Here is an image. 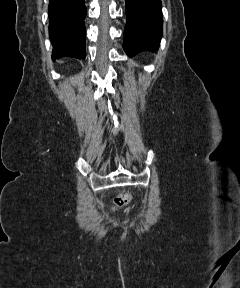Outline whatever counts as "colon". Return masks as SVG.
Masks as SVG:
<instances>
[{
    "instance_id": "5ec220e1",
    "label": "colon",
    "mask_w": 240,
    "mask_h": 288,
    "mask_svg": "<svg viewBox=\"0 0 240 288\" xmlns=\"http://www.w3.org/2000/svg\"><path fill=\"white\" fill-rule=\"evenodd\" d=\"M130 201L129 194H121L115 199V205L117 207L125 206Z\"/></svg>"
}]
</instances>
